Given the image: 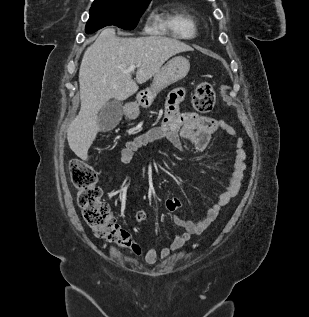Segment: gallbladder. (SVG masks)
<instances>
[{
  "label": "gallbladder",
  "mask_w": 309,
  "mask_h": 317,
  "mask_svg": "<svg viewBox=\"0 0 309 317\" xmlns=\"http://www.w3.org/2000/svg\"><path fill=\"white\" fill-rule=\"evenodd\" d=\"M122 103L116 99L109 100L99 112V128L101 131L114 129L122 119Z\"/></svg>",
  "instance_id": "obj_1"
}]
</instances>
